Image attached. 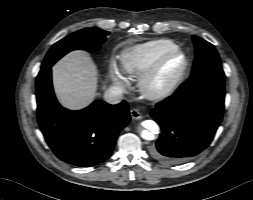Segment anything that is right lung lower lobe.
Masks as SVG:
<instances>
[{"mask_svg": "<svg viewBox=\"0 0 253 200\" xmlns=\"http://www.w3.org/2000/svg\"><path fill=\"white\" fill-rule=\"evenodd\" d=\"M51 67H41L36 80L37 120L46 142L66 163L90 167L103 162L130 121L128 104L97 100L80 111L67 110L54 95Z\"/></svg>", "mask_w": 253, "mask_h": 200, "instance_id": "right-lung-lower-lobe-1", "label": "right lung lower lobe"}]
</instances>
